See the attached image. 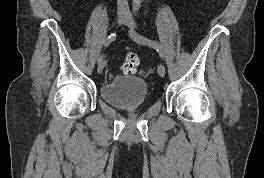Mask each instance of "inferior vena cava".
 Wrapping results in <instances>:
<instances>
[{
	"instance_id": "inferior-vena-cava-1",
	"label": "inferior vena cava",
	"mask_w": 264,
	"mask_h": 178,
	"mask_svg": "<svg viewBox=\"0 0 264 178\" xmlns=\"http://www.w3.org/2000/svg\"><path fill=\"white\" fill-rule=\"evenodd\" d=\"M117 9L120 13H129L128 0H117Z\"/></svg>"
}]
</instances>
